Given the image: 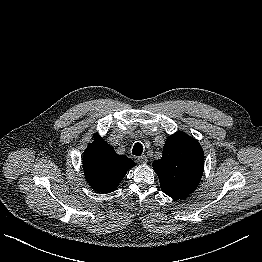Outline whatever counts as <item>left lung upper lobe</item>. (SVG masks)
Listing matches in <instances>:
<instances>
[{
    "label": "left lung upper lobe",
    "instance_id": "5c2ea615",
    "mask_svg": "<svg viewBox=\"0 0 262 262\" xmlns=\"http://www.w3.org/2000/svg\"><path fill=\"white\" fill-rule=\"evenodd\" d=\"M203 168L201 145L184 132L168 137L162 158L153 162L162 191L173 199H184L196 190Z\"/></svg>",
    "mask_w": 262,
    "mask_h": 262
}]
</instances>
